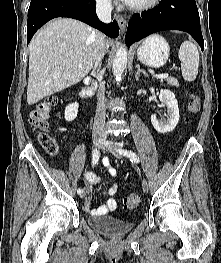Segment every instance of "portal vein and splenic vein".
Listing matches in <instances>:
<instances>
[{"label":"portal vein and splenic vein","mask_w":221,"mask_h":263,"mask_svg":"<svg viewBox=\"0 0 221 263\" xmlns=\"http://www.w3.org/2000/svg\"><path fill=\"white\" fill-rule=\"evenodd\" d=\"M174 69H177V67H173ZM156 78H160V79H165L168 77L167 73H162V74H156L155 75Z\"/></svg>","instance_id":"portal-vein-and-splenic-vein-1"}]
</instances>
